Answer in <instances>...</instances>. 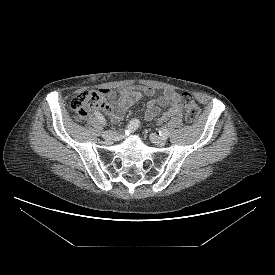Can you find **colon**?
Listing matches in <instances>:
<instances>
[{"instance_id":"colon-1","label":"colon","mask_w":275,"mask_h":275,"mask_svg":"<svg viewBox=\"0 0 275 275\" xmlns=\"http://www.w3.org/2000/svg\"><path fill=\"white\" fill-rule=\"evenodd\" d=\"M181 103L185 108V119L189 123L197 121L200 115V108L189 93L181 94ZM107 106L105 96L98 91H83L76 94L70 107L74 111L76 119L81 121L94 109L104 110Z\"/></svg>"}]
</instances>
